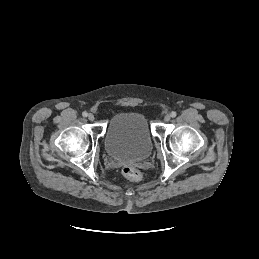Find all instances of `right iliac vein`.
<instances>
[{"mask_svg": "<svg viewBox=\"0 0 259 259\" xmlns=\"http://www.w3.org/2000/svg\"><path fill=\"white\" fill-rule=\"evenodd\" d=\"M88 119L90 121H93L95 119V116L92 113H90V114H88Z\"/></svg>", "mask_w": 259, "mask_h": 259, "instance_id": "1", "label": "right iliac vein"}]
</instances>
